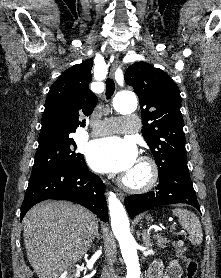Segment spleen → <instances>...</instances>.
<instances>
[{"mask_svg": "<svg viewBox=\"0 0 221 278\" xmlns=\"http://www.w3.org/2000/svg\"><path fill=\"white\" fill-rule=\"evenodd\" d=\"M173 215L179 218L181 226L188 232L189 241L193 245H200L203 233L199 218L193 212L182 208L173 209Z\"/></svg>", "mask_w": 221, "mask_h": 278, "instance_id": "1", "label": "spleen"}]
</instances>
